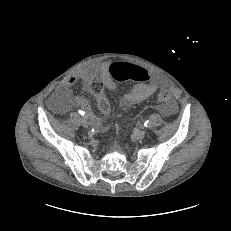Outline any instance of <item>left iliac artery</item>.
Instances as JSON below:
<instances>
[{"mask_svg": "<svg viewBox=\"0 0 231 231\" xmlns=\"http://www.w3.org/2000/svg\"><path fill=\"white\" fill-rule=\"evenodd\" d=\"M144 126L149 128L151 126V122L149 120L145 121Z\"/></svg>", "mask_w": 231, "mask_h": 231, "instance_id": "obj_1", "label": "left iliac artery"}]
</instances>
